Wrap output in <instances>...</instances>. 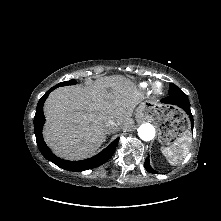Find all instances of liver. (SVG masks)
<instances>
[{"mask_svg": "<svg viewBox=\"0 0 221 221\" xmlns=\"http://www.w3.org/2000/svg\"><path fill=\"white\" fill-rule=\"evenodd\" d=\"M143 99L136 85L120 75L99 78L85 87L57 88L44 104V139L59 157L87 158L106 140L107 121L120 129L133 126L131 116Z\"/></svg>", "mask_w": 221, "mask_h": 221, "instance_id": "obj_1", "label": "liver"}]
</instances>
